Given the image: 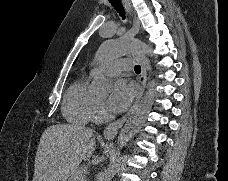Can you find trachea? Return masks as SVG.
<instances>
[{
	"label": "trachea",
	"instance_id": "trachea-1",
	"mask_svg": "<svg viewBox=\"0 0 228 181\" xmlns=\"http://www.w3.org/2000/svg\"><path fill=\"white\" fill-rule=\"evenodd\" d=\"M111 5L114 7V9L118 12V14L121 16L122 19H125V10L123 8V5L120 0H109ZM135 73L141 72V67L139 65H135L134 67Z\"/></svg>",
	"mask_w": 228,
	"mask_h": 181
}]
</instances>
